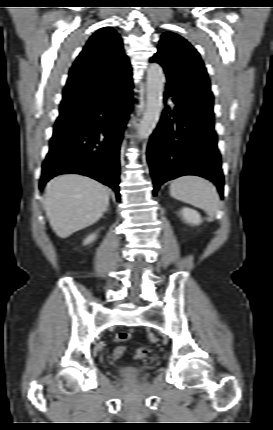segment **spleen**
I'll use <instances>...</instances> for the list:
<instances>
[{
    "mask_svg": "<svg viewBox=\"0 0 273 430\" xmlns=\"http://www.w3.org/2000/svg\"><path fill=\"white\" fill-rule=\"evenodd\" d=\"M170 195L182 202L205 210L210 216L219 211L215 186L205 178L185 175L171 182Z\"/></svg>",
    "mask_w": 273,
    "mask_h": 430,
    "instance_id": "obj_1",
    "label": "spleen"
}]
</instances>
